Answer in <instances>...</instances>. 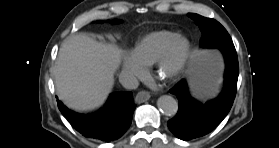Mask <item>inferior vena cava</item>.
<instances>
[{"label": "inferior vena cava", "instance_id": "inferior-vena-cava-1", "mask_svg": "<svg viewBox=\"0 0 279 148\" xmlns=\"http://www.w3.org/2000/svg\"><path fill=\"white\" fill-rule=\"evenodd\" d=\"M119 81L124 88L129 90L136 89L139 86L138 79L128 72H121L119 75Z\"/></svg>", "mask_w": 279, "mask_h": 148}]
</instances>
